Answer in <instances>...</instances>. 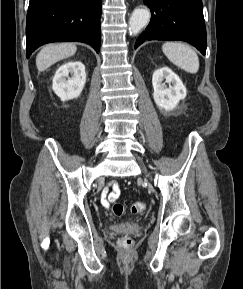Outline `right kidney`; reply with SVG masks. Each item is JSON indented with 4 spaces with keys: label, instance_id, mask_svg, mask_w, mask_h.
<instances>
[{
    "label": "right kidney",
    "instance_id": "1",
    "mask_svg": "<svg viewBox=\"0 0 243 289\" xmlns=\"http://www.w3.org/2000/svg\"><path fill=\"white\" fill-rule=\"evenodd\" d=\"M85 83L86 73L83 63L69 61L57 69L53 77L52 89L61 101H67L79 97Z\"/></svg>",
    "mask_w": 243,
    "mask_h": 289
}]
</instances>
